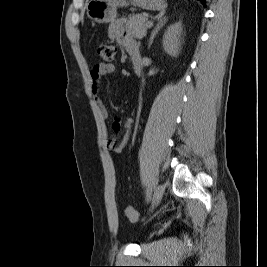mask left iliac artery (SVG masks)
Listing matches in <instances>:
<instances>
[{"label": "left iliac artery", "instance_id": "obj_1", "mask_svg": "<svg viewBox=\"0 0 267 267\" xmlns=\"http://www.w3.org/2000/svg\"><path fill=\"white\" fill-rule=\"evenodd\" d=\"M151 193H152V189L148 187L147 192H146V201H149L151 199Z\"/></svg>", "mask_w": 267, "mask_h": 267}]
</instances>
